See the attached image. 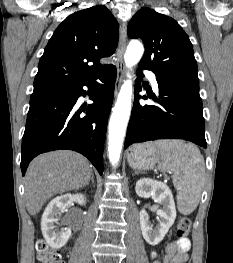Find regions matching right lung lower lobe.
<instances>
[{
  "mask_svg": "<svg viewBox=\"0 0 233 263\" xmlns=\"http://www.w3.org/2000/svg\"><path fill=\"white\" fill-rule=\"evenodd\" d=\"M115 80L116 67L109 65L94 79L31 95L22 138L23 175L34 157L59 149L83 154L102 174L104 140ZM83 86L94 91L90 97L94 103L79 107L78 98L86 95Z\"/></svg>",
  "mask_w": 233,
  "mask_h": 263,
  "instance_id": "98d812e1",
  "label": "right lung lower lobe"
}]
</instances>
